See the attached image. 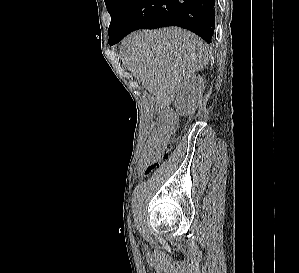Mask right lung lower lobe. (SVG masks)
<instances>
[{"instance_id": "98d812e1", "label": "right lung lower lobe", "mask_w": 299, "mask_h": 273, "mask_svg": "<svg viewBox=\"0 0 299 273\" xmlns=\"http://www.w3.org/2000/svg\"><path fill=\"white\" fill-rule=\"evenodd\" d=\"M179 26L210 43L215 28V0H134L110 45L137 29Z\"/></svg>"}]
</instances>
